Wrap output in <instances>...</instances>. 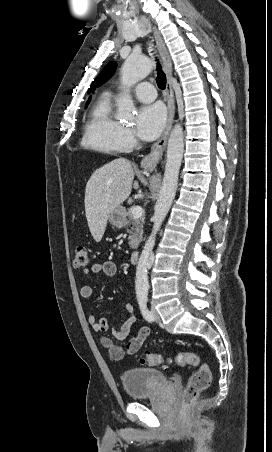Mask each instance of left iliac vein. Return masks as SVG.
<instances>
[{
    "mask_svg": "<svg viewBox=\"0 0 272 452\" xmlns=\"http://www.w3.org/2000/svg\"><path fill=\"white\" fill-rule=\"evenodd\" d=\"M151 312H152L153 319L158 323L161 322V318H160L157 310L155 308H151Z\"/></svg>",
    "mask_w": 272,
    "mask_h": 452,
    "instance_id": "4c4485c4",
    "label": "left iliac vein"
}]
</instances>
